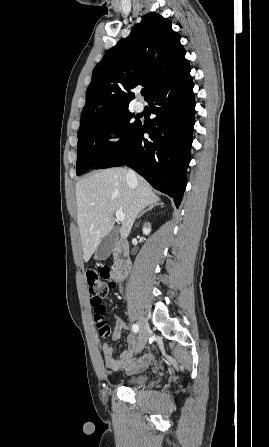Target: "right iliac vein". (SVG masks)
<instances>
[{"label":"right iliac vein","instance_id":"obj_1","mask_svg":"<svg viewBox=\"0 0 269 447\" xmlns=\"http://www.w3.org/2000/svg\"><path fill=\"white\" fill-rule=\"evenodd\" d=\"M139 326H140V330H139V335H138V345H137V352H140L147 340H148V336H149V325L146 319H139Z\"/></svg>","mask_w":269,"mask_h":447}]
</instances>
